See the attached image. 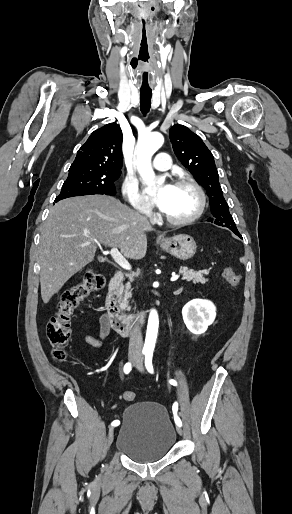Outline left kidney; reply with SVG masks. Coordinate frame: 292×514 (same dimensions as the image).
<instances>
[{
  "mask_svg": "<svg viewBox=\"0 0 292 514\" xmlns=\"http://www.w3.org/2000/svg\"><path fill=\"white\" fill-rule=\"evenodd\" d=\"M184 324L196 336L204 334L216 318V308L209 300H191L182 310Z\"/></svg>",
  "mask_w": 292,
  "mask_h": 514,
  "instance_id": "5707ae66",
  "label": "left kidney"
}]
</instances>
